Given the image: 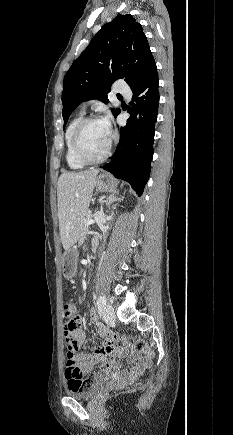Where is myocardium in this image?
<instances>
[{
    "mask_svg": "<svg viewBox=\"0 0 233 435\" xmlns=\"http://www.w3.org/2000/svg\"><path fill=\"white\" fill-rule=\"evenodd\" d=\"M96 121H102V118H100L99 116H95V115L83 117L80 120V122L77 124V126L74 130V133H73L74 150H75L78 158L86 164H97V163H100V162H103L104 160H106L111 153L113 143L115 140L114 136L111 134V138H110V141L107 145L105 152L98 157L91 156L87 152V150L83 144L82 134H83V131L85 130L87 125H89L92 122H96Z\"/></svg>",
    "mask_w": 233,
    "mask_h": 435,
    "instance_id": "1",
    "label": "myocardium"
}]
</instances>
